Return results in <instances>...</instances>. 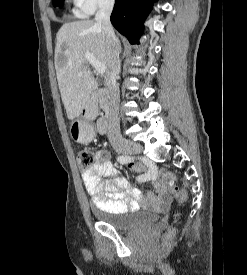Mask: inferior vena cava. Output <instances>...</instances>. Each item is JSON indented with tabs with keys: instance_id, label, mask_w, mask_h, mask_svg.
Segmentation results:
<instances>
[{
	"instance_id": "obj_1",
	"label": "inferior vena cava",
	"mask_w": 247,
	"mask_h": 275,
	"mask_svg": "<svg viewBox=\"0 0 247 275\" xmlns=\"http://www.w3.org/2000/svg\"><path fill=\"white\" fill-rule=\"evenodd\" d=\"M114 7V0H103L99 10L96 13V25L102 30L103 37L107 43L109 50V68L105 74V86L109 96V112H108V139L109 142L116 146L123 142L120 132L119 120V88L116 78L121 70L119 55L121 52V44L116 37L110 15Z\"/></svg>"
}]
</instances>
